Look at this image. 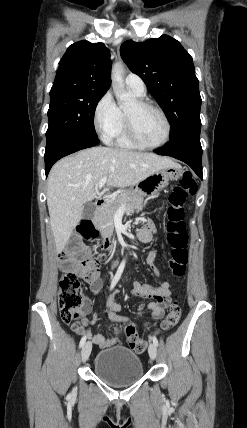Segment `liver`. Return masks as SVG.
I'll return each mask as SVG.
<instances>
[{
    "instance_id": "liver-1",
    "label": "liver",
    "mask_w": 247,
    "mask_h": 428,
    "mask_svg": "<svg viewBox=\"0 0 247 428\" xmlns=\"http://www.w3.org/2000/svg\"><path fill=\"white\" fill-rule=\"evenodd\" d=\"M180 165L153 153L92 147L58 161L47 181V206L57 253L66 246L83 217V206L99 194L107 176L109 187L133 186L155 172Z\"/></svg>"
}]
</instances>
